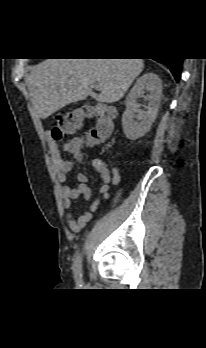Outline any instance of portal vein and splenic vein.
<instances>
[{
	"mask_svg": "<svg viewBox=\"0 0 206 348\" xmlns=\"http://www.w3.org/2000/svg\"><path fill=\"white\" fill-rule=\"evenodd\" d=\"M95 87H96V88H99V87H100V84H99V83H96Z\"/></svg>",
	"mask_w": 206,
	"mask_h": 348,
	"instance_id": "1",
	"label": "portal vein and splenic vein"
}]
</instances>
